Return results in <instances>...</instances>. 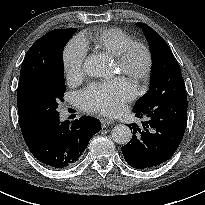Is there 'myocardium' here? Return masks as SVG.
Wrapping results in <instances>:
<instances>
[{
    "mask_svg": "<svg viewBox=\"0 0 205 205\" xmlns=\"http://www.w3.org/2000/svg\"><path fill=\"white\" fill-rule=\"evenodd\" d=\"M137 52L143 56V65L139 71L135 72L133 59ZM116 64L121 72L132 77L136 82L144 84L150 78L153 69V55L146 43L133 41L116 57Z\"/></svg>",
    "mask_w": 205,
    "mask_h": 205,
    "instance_id": "1",
    "label": "myocardium"
}]
</instances>
